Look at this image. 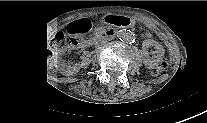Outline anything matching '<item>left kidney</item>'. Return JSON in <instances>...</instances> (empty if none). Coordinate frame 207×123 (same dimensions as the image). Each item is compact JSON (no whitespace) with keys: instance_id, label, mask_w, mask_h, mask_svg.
<instances>
[{"instance_id":"obj_1","label":"left kidney","mask_w":207,"mask_h":123,"mask_svg":"<svg viewBox=\"0 0 207 123\" xmlns=\"http://www.w3.org/2000/svg\"><path fill=\"white\" fill-rule=\"evenodd\" d=\"M155 46H156L157 50H160L161 49V45L160 44H157ZM159 57L160 56H158L157 59L156 58L146 57L144 59V63H145L146 66L151 67L152 65H155L157 61H159Z\"/></svg>"}]
</instances>
